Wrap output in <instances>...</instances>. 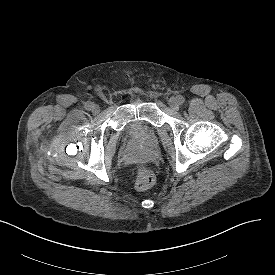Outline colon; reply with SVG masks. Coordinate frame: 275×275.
<instances>
[{"mask_svg":"<svg viewBox=\"0 0 275 275\" xmlns=\"http://www.w3.org/2000/svg\"><path fill=\"white\" fill-rule=\"evenodd\" d=\"M136 177L135 188L140 192L149 189L155 182L153 171L144 165L136 166Z\"/></svg>","mask_w":275,"mask_h":275,"instance_id":"colon-1","label":"colon"}]
</instances>
